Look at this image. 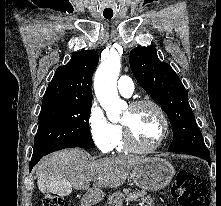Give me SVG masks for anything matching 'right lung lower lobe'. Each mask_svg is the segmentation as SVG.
Segmentation results:
<instances>
[{"label":"right lung lower lobe","instance_id":"right-lung-lower-lobe-1","mask_svg":"<svg viewBox=\"0 0 221 206\" xmlns=\"http://www.w3.org/2000/svg\"><path fill=\"white\" fill-rule=\"evenodd\" d=\"M42 157H43V156L35 157V158H32V159H31L30 164H29L30 171H31V169L33 168V166H34L35 164H37L38 161H39Z\"/></svg>","mask_w":221,"mask_h":206}]
</instances>
